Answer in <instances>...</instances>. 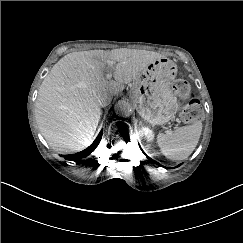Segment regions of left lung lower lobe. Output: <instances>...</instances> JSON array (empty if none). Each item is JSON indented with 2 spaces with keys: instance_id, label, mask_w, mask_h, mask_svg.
<instances>
[{
  "instance_id": "obj_1",
  "label": "left lung lower lobe",
  "mask_w": 243,
  "mask_h": 243,
  "mask_svg": "<svg viewBox=\"0 0 243 243\" xmlns=\"http://www.w3.org/2000/svg\"><path fill=\"white\" fill-rule=\"evenodd\" d=\"M147 158H148L150 161H152L153 163H156V164H158L159 166H161L159 163L155 162L154 160H152V159L149 158L148 156H147Z\"/></svg>"
}]
</instances>
